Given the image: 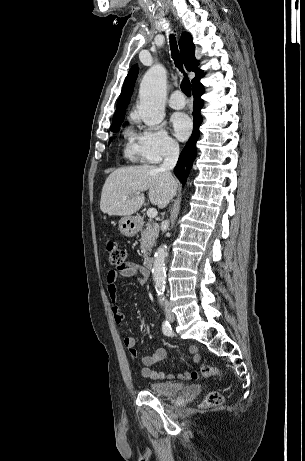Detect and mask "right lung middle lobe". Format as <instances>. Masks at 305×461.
<instances>
[{"instance_id":"1","label":"right lung middle lobe","mask_w":305,"mask_h":461,"mask_svg":"<svg viewBox=\"0 0 305 461\" xmlns=\"http://www.w3.org/2000/svg\"><path fill=\"white\" fill-rule=\"evenodd\" d=\"M122 122L123 121H118V122L112 123V125L110 127L111 131L117 132L119 130V127H120ZM110 140H112V138Z\"/></svg>"}]
</instances>
